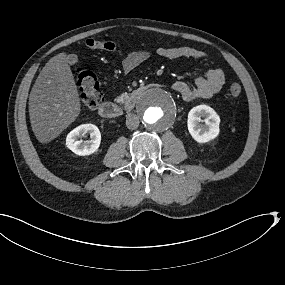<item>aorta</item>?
Returning <instances> with one entry per match:
<instances>
[{
	"instance_id": "1",
	"label": "aorta",
	"mask_w": 285,
	"mask_h": 285,
	"mask_svg": "<svg viewBox=\"0 0 285 285\" xmlns=\"http://www.w3.org/2000/svg\"><path fill=\"white\" fill-rule=\"evenodd\" d=\"M133 111L142 126L150 130L161 131L169 128L176 121L179 106L169 89L152 85L137 94Z\"/></svg>"
}]
</instances>
